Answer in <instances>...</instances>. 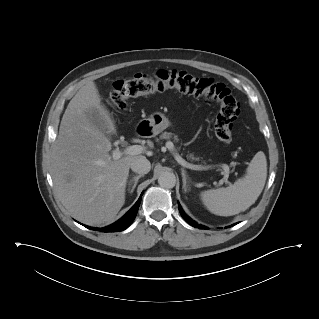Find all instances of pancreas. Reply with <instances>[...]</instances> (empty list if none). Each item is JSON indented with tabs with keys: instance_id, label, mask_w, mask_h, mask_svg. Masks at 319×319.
Wrapping results in <instances>:
<instances>
[{
	"instance_id": "1",
	"label": "pancreas",
	"mask_w": 319,
	"mask_h": 319,
	"mask_svg": "<svg viewBox=\"0 0 319 319\" xmlns=\"http://www.w3.org/2000/svg\"><path fill=\"white\" fill-rule=\"evenodd\" d=\"M171 138L174 139V141H178V136L171 133V132H163L161 135H160V139H166V140H170ZM187 159L189 160H194V161H199L200 158L199 157H195L193 153H190L187 155Z\"/></svg>"
}]
</instances>
